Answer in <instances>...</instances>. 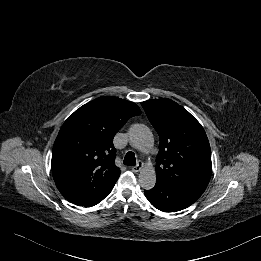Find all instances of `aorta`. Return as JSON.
Returning <instances> with one entry per match:
<instances>
[{"instance_id": "1", "label": "aorta", "mask_w": 261, "mask_h": 261, "mask_svg": "<svg viewBox=\"0 0 261 261\" xmlns=\"http://www.w3.org/2000/svg\"><path fill=\"white\" fill-rule=\"evenodd\" d=\"M130 143L141 152L149 151L154 143L151 130L143 124H135L129 131ZM138 182L143 189L150 190L156 184V172L154 167L145 166L140 170Z\"/></svg>"}]
</instances>
